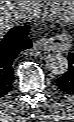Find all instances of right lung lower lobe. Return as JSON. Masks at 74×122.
Wrapping results in <instances>:
<instances>
[{"mask_svg": "<svg viewBox=\"0 0 74 122\" xmlns=\"http://www.w3.org/2000/svg\"><path fill=\"white\" fill-rule=\"evenodd\" d=\"M29 25L12 28L0 38V98L12 90L13 62L20 52L32 47L28 38Z\"/></svg>", "mask_w": 74, "mask_h": 122, "instance_id": "obj_1", "label": "right lung lower lobe"}]
</instances>
